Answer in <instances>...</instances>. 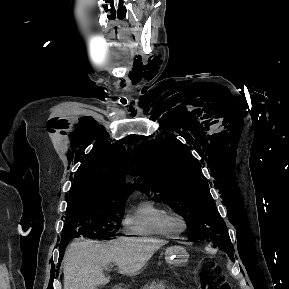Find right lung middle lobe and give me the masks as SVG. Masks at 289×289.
<instances>
[{"mask_svg":"<svg viewBox=\"0 0 289 289\" xmlns=\"http://www.w3.org/2000/svg\"><path fill=\"white\" fill-rule=\"evenodd\" d=\"M126 198L119 195H104L70 199L61 244H68L71 239L79 236L92 239L114 236V232L108 231L115 228L110 221L117 222V229L119 228Z\"/></svg>","mask_w":289,"mask_h":289,"instance_id":"dd1d6c3e","label":"right lung middle lobe"}]
</instances>
